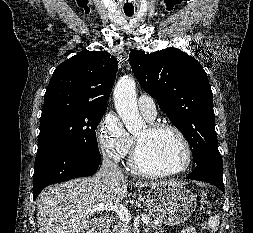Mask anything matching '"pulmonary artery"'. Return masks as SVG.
<instances>
[{"label":"pulmonary artery","mask_w":253,"mask_h":233,"mask_svg":"<svg viewBox=\"0 0 253 233\" xmlns=\"http://www.w3.org/2000/svg\"><path fill=\"white\" fill-rule=\"evenodd\" d=\"M138 108L141 114L148 120H153L157 115L156 104L152 97L148 95H140L138 97Z\"/></svg>","instance_id":"obj_1"}]
</instances>
